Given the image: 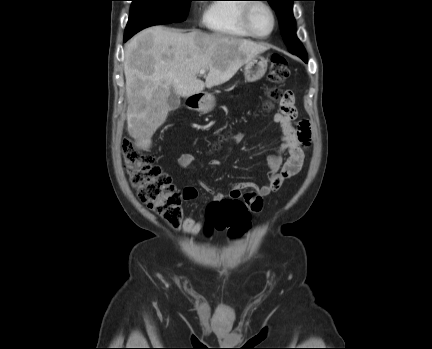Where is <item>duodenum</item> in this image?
Wrapping results in <instances>:
<instances>
[{
    "label": "duodenum",
    "instance_id": "obj_1",
    "mask_svg": "<svg viewBox=\"0 0 432 349\" xmlns=\"http://www.w3.org/2000/svg\"><path fill=\"white\" fill-rule=\"evenodd\" d=\"M199 102H200V98H199L198 96H193V97H191V98L189 99V101H188V105H189L191 108H195V107H197V105H198Z\"/></svg>",
    "mask_w": 432,
    "mask_h": 349
}]
</instances>
